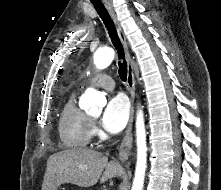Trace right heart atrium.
<instances>
[{"mask_svg":"<svg viewBox=\"0 0 221 190\" xmlns=\"http://www.w3.org/2000/svg\"><path fill=\"white\" fill-rule=\"evenodd\" d=\"M91 134H92V137H98L99 136V129L96 126L95 123H91Z\"/></svg>","mask_w":221,"mask_h":190,"instance_id":"d8ad5b80","label":"right heart atrium"}]
</instances>
